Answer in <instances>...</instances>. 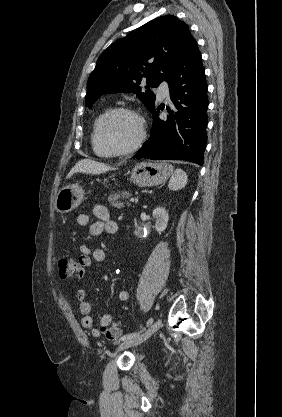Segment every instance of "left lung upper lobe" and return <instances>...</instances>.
I'll use <instances>...</instances> for the list:
<instances>
[{"mask_svg": "<svg viewBox=\"0 0 282 417\" xmlns=\"http://www.w3.org/2000/svg\"><path fill=\"white\" fill-rule=\"evenodd\" d=\"M195 39L177 17L156 18L112 43L98 58L89 76L85 104L91 108L106 93L134 92L150 111L155 94L150 91L165 80L184 48ZM146 79V91L141 81Z\"/></svg>", "mask_w": 282, "mask_h": 417, "instance_id": "5c2ea615", "label": "left lung upper lobe"}]
</instances>
